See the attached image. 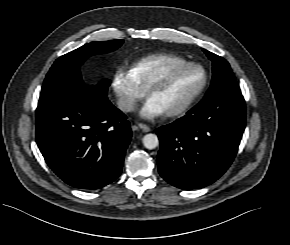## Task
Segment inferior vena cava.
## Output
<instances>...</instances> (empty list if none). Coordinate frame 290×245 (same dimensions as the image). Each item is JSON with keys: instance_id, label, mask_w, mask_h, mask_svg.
I'll use <instances>...</instances> for the list:
<instances>
[{"instance_id": "602c4592", "label": "inferior vena cava", "mask_w": 290, "mask_h": 245, "mask_svg": "<svg viewBox=\"0 0 290 245\" xmlns=\"http://www.w3.org/2000/svg\"><path fill=\"white\" fill-rule=\"evenodd\" d=\"M118 108L123 112H131L135 108V103L132 99L126 96H121L117 100Z\"/></svg>"}]
</instances>
